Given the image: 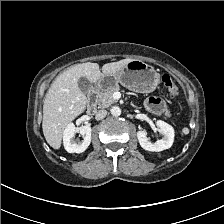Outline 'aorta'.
<instances>
[{
	"label": "aorta",
	"instance_id": "aorta-1",
	"mask_svg": "<svg viewBox=\"0 0 224 224\" xmlns=\"http://www.w3.org/2000/svg\"><path fill=\"white\" fill-rule=\"evenodd\" d=\"M111 114H112L113 116H120V114H121V109H120L118 106H113V107L111 108Z\"/></svg>",
	"mask_w": 224,
	"mask_h": 224
}]
</instances>
